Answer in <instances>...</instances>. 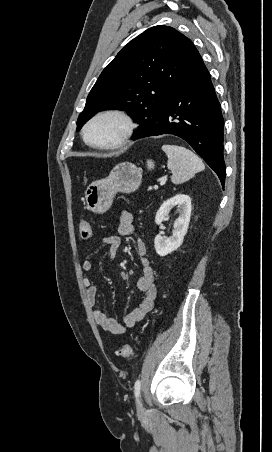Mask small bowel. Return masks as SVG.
I'll list each match as a JSON object with an SVG mask.
<instances>
[{"label":"small bowel","mask_w":272,"mask_h":452,"mask_svg":"<svg viewBox=\"0 0 272 452\" xmlns=\"http://www.w3.org/2000/svg\"><path fill=\"white\" fill-rule=\"evenodd\" d=\"M134 217L129 211H123L119 217L118 233L121 236H129L135 234ZM105 247L108 249V256L114 259L119 247L121 246V238L116 235H107L102 239ZM136 251L139 256L141 265V275L137 280V288L143 292L144 296L139 304L125 314L120 321L108 316L104 311L96 309L97 287L95 283L88 277L83 279V285L86 288L87 300L89 305L94 308L93 316L96 324L104 331L120 335L127 329L133 327L138 321L142 320L155 306L157 299V288L154 284V272L150 265L149 259L146 257L147 248L143 240L136 239ZM91 259H85L81 263L84 271L92 268Z\"/></svg>","instance_id":"1"}]
</instances>
